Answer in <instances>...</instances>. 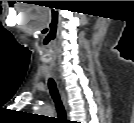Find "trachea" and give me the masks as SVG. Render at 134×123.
Instances as JSON below:
<instances>
[{"mask_svg": "<svg viewBox=\"0 0 134 123\" xmlns=\"http://www.w3.org/2000/svg\"><path fill=\"white\" fill-rule=\"evenodd\" d=\"M48 85H49V90H50L51 97H52V99L55 103L56 110H57V113H58V116H59L58 119L59 120H64L65 117H66L65 109H64V106H63L62 101L60 99L59 92H58V89L56 87V84H55L54 80L49 79Z\"/></svg>", "mask_w": 134, "mask_h": 123, "instance_id": "obj_1", "label": "trachea"}]
</instances>
